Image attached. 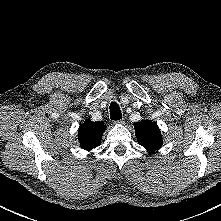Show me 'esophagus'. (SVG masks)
<instances>
[{
	"mask_svg": "<svg viewBox=\"0 0 221 221\" xmlns=\"http://www.w3.org/2000/svg\"><path fill=\"white\" fill-rule=\"evenodd\" d=\"M115 125H122L125 123V121L122 119V120H117V121H114L113 122Z\"/></svg>",
	"mask_w": 221,
	"mask_h": 221,
	"instance_id": "obj_1",
	"label": "esophagus"
}]
</instances>
